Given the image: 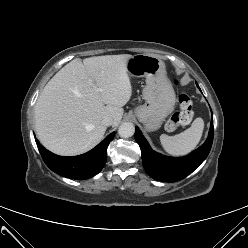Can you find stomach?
Returning a JSON list of instances; mask_svg holds the SVG:
<instances>
[{
	"mask_svg": "<svg viewBox=\"0 0 248 248\" xmlns=\"http://www.w3.org/2000/svg\"><path fill=\"white\" fill-rule=\"evenodd\" d=\"M127 72L133 77H145L143 89L145 104L138 106L134 114L147 131L161 127L165 118L174 110L176 96L169 82L164 62L155 55L138 54L127 61Z\"/></svg>",
	"mask_w": 248,
	"mask_h": 248,
	"instance_id": "obj_1",
	"label": "stomach"
}]
</instances>
